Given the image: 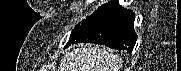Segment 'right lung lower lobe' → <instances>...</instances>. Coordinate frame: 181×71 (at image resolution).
Segmentation results:
<instances>
[{"instance_id": "obj_1", "label": "right lung lower lobe", "mask_w": 181, "mask_h": 71, "mask_svg": "<svg viewBox=\"0 0 181 71\" xmlns=\"http://www.w3.org/2000/svg\"><path fill=\"white\" fill-rule=\"evenodd\" d=\"M135 14L121 7L117 0L100 6L73 29L66 46L89 42L131 52L137 40Z\"/></svg>"}]
</instances>
